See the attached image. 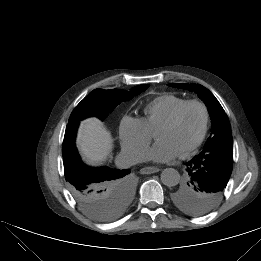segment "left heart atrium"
<instances>
[{
  "label": "left heart atrium",
  "mask_w": 261,
  "mask_h": 261,
  "mask_svg": "<svg viewBox=\"0 0 261 261\" xmlns=\"http://www.w3.org/2000/svg\"><path fill=\"white\" fill-rule=\"evenodd\" d=\"M179 155L175 146L166 140L157 141L153 147L147 152L148 159L154 162H169Z\"/></svg>",
  "instance_id": "left-heart-atrium-1"
}]
</instances>
